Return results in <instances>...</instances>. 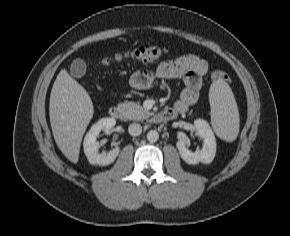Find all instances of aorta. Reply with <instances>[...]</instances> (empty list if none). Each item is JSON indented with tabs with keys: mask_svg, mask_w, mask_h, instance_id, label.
Here are the masks:
<instances>
[{
	"mask_svg": "<svg viewBox=\"0 0 290 236\" xmlns=\"http://www.w3.org/2000/svg\"><path fill=\"white\" fill-rule=\"evenodd\" d=\"M147 139L149 142L153 143L156 142L159 139V134L156 130H150L147 133Z\"/></svg>",
	"mask_w": 290,
	"mask_h": 236,
	"instance_id": "1",
	"label": "aorta"
}]
</instances>
